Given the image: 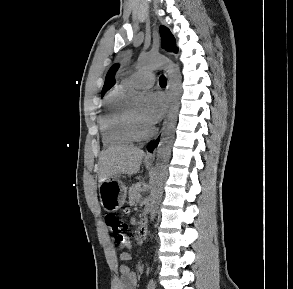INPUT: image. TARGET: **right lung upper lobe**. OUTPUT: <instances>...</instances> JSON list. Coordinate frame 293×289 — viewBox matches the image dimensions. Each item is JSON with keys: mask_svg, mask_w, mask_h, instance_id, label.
<instances>
[{"mask_svg": "<svg viewBox=\"0 0 293 289\" xmlns=\"http://www.w3.org/2000/svg\"><path fill=\"white\" fill-rule=\"evenodd\" d=\"M117 69H118V65H114L109 70V72L106 76V79H105V84L102 89V94H104L108 89H110L114 85V83H115L114 75H115V72L117 71Z\"/></svg>", "mask_w": 293, "mask_h": 289, "instance_id": "obj_1", "label": "right lung upper lobe"}]
</instances>
